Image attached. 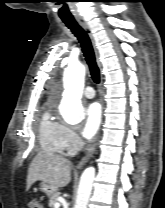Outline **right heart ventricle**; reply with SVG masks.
Listing matches in <instances>:
<instances>
[{"instance_id": "1", "label": "right heart ventricle", "mask_w": 165, "mask_h": 208, "mask_svg": "<svg viewBox=\"0 0 165 208\" xmlns=\"http://www.w3.org/2000/svg\"><path fill=\"white\" fill-rule=\"evenodd\" d=\"M63 125L46 110L39 124V140L42 148L49 153H64Z\"/></svg>"}]
</instances>
